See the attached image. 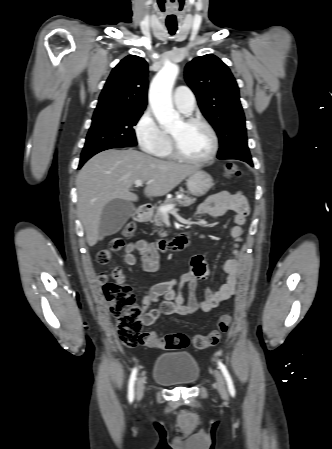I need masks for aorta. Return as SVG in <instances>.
<instances>
[{"instance_id":"aorta-1","label":"aorta","mask_w":332,"mask_h":449,"mask_svg":"<svg viewBox=\"0 0 332 449\" xmlns=\"http://www.w3.org/2000/svg\"><path fill=\"white\" fill-rule=\"evenodd\" d=\"M178 73L179 67L176 64H165L150 85L149 103L159 124L164 128H173L181 122L171 98Z\"/></svg>"}]
</instances>
